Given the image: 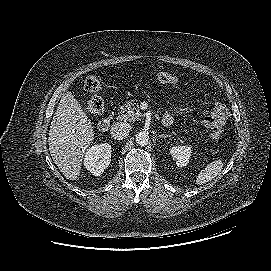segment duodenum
<instances>
[{"instance_id": "1", "label": "duodenum", "mask_w": 271, "mask_h": 271, "mask_svg": "<svg viewBox=\"0 0 271 271\" xmlns=\"http://www.w3.org/2000/svg\"><path fill=\"white\" fill-rule=\"evenodd\" d=\"M110 123H111V117L106 116L104 118H102L99 122H98V129L101 132H106L108 131L109 127H110ZM164 125L168 126L170 125V121L168 119H164L163 120Z\"/></svg>"}]
</instances>
